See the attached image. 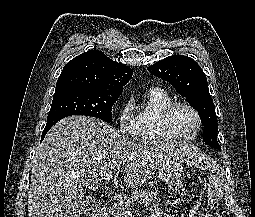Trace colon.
<instances>
[{"label":"colon","instance_id":"colon-1","mask_svg":"<svg viewBox=\"0 0 255 217\" xmlns=\"http://www.w3.org/2000/svg\"><path fill=\"white\" fill-rule=\"evenodd\" d=\"M169 201L173 204L181 203L186 198V191L182 184L172 183L168 192ZM208 204L212 209H216L220 203V191L215 184H210L208 189Z\"/></svg>","mask_w":255,"mask_h":217}]
</instances>
